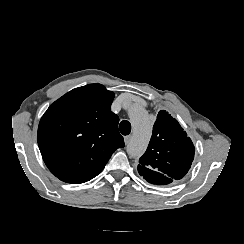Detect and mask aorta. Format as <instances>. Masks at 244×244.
I'll return each mask as SVG.
<instances>
[{
	"label": "aorta",
	"instance_id": "aorta-1",
	"mask_svg": "<svg viewBox=\"0 0 244 244\" xmlns=\"http://www.w3.org/2000/svg\"><path fill=\"white\" fill-rule=\"evenodd\" d=\"M128 113L134 131L127 145V153L131 157H140L145 152L151 136L150 119L146 110L138 105H132Z\"/></svg>",
	"mask_w": 244,
	"mask_h": 244
}]
</instances>
